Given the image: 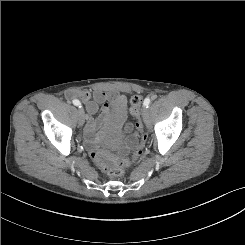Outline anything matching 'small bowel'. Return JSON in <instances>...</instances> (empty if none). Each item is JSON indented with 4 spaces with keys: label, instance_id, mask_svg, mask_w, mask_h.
Here are the masks:
<instances>
[{
    "label": "small bowel",
    "instance_id": "obj_1",
    "mask_svg": "<svg viewBox=\"0 0 245 245\" xmlns=\"http://www.w3.org/2000/svg\"><path fill=\"white\" fill-rule=\"evenodd\" d=\"M78 95L85 103L89 114L87 127V133L89 136L95 129V122L92 116L98 112L99 104H102V115L104 117L110 116L116 108L123 110L127 104L126 97L117 91H95L93 93L85 91ZM121 119L123 121V130L127 134V146H131L135 143V135L132 133L131 125L126 121L124 114L121 115Z\"/></svg>",
    "mask_w": 245,
    "mask_h": 245
}]
</instances>
